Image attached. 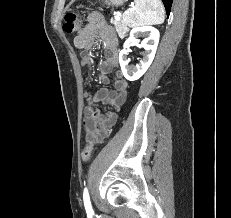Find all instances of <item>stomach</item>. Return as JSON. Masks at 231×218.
I'll return each mask as SVG.
<instances>
[{
  "instance_id": "1",
  "label": "stomach",
  "mask_w": 231,
  "mask_h": 218,
  "mask_svg": "<svg viewBox=\"0 0 231 218\" xmlns=\"http://www.w3.org/2000/svg\"><path fill=\"white\" fill-rule=\"evenodd\" d=\"M109 5L111 6H115V7H118V6H121L125 0H105Z\"/></svg>"
}]
</instances>
